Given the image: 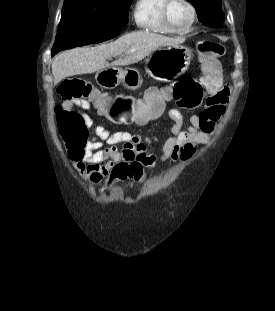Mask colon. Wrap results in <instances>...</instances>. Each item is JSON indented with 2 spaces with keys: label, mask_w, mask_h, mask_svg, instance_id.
I'll return each mask as SVG.
<instances>
[{
  "label": "colon",
  "mask_w": 275,
  "mask_h": 311,
  "mask_svg": "<svg viewBox=\"0 0 275 311\" xmlns=\"http://www.w3.org/2000/svg\"><path fill=\"white\" fill-rule=\"evenodd\" d=\"M203 57L204 71L214 74L220 71L219 58L225 54V46L215 41H203L198 46ZM59 94L65 102L89 104L93 102L99 109L101 117L112 121V125H136L145 129L149 121H160L165 112L164 104L173 101L177 105H195L203 101V88L195 78H187L174 84L164 86L158 92H146L145 97H105L89 82L71 77L59 86ZM59 132L74 156L83 149L87 135V125L81 113L75 110L57 108ZM205 120V119H204ZM193 152L188 146L184 157ZM113 176L121 180L140 182L144 177L143 166L133 162L115 166Z\"/></svg>",
  "instance_id": "colon-1"
}]
</instances>
